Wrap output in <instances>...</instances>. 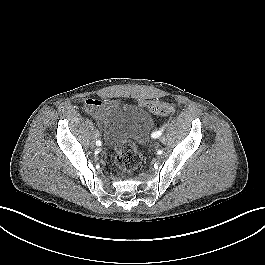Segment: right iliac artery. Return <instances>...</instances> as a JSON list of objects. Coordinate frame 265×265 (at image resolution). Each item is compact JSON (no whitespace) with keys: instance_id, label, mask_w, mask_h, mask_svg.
<instances>
[{"instance_id":"right-iliac-artery-1","label":"right iliac artery","mask_w":265,"mask_h":265,"mask_svg":"<svg viewBox=\"0 0 265 265\" xmlns=\"http://www.w3.org/2000/svg\"><path fill=\"white\" fill-rule=\"evenodd\" d=\"M102 142L100 140L96 141L97 146H101Z\"/></svg>"}]
</instances>
